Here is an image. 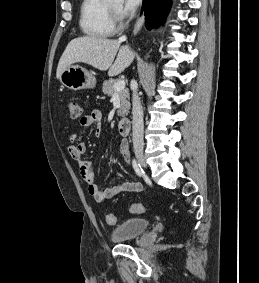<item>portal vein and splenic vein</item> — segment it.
<instances>
[{
    "instance_id": "18ae733b",
    "label": "portal vein and splenic vein",
    "mask_w": 259,
    "mask_h": 283,
    "mask_svg": "<svg viewBox=\"0 0 259 283\" xmlns=\"http://www.w3.org/2000/svg\"><path fill=\"white\" fill-rule=\"evenodd\" d=\"M125 88V81L124 80H119L115 83L114 89L116 92H119Z\"/></svg>"
}]
</instances>
